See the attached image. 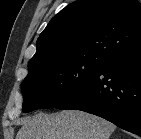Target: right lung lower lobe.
<instances>
[{"label": "right lung lower lobe", "instance_id": "right-lung-lower-lobe-1", "mask_svg": "<svg viewBox=\"0 0 141 139\" xmlns=\"http://www.w3.org/2000/svg\"><path fill=\"white\" fill-rule=\"evenodd\" d=\"M55 108L85 111L141 136V44L106 59L87 84Z\"/></svg>", "mask_w": 141, "mask_h": 139}]
</instances>
